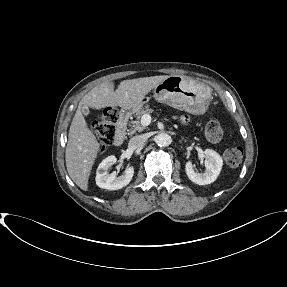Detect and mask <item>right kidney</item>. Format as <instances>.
I'll use <instances>...</instances> for the list:
<instances>
[{
	"label": "right kidney",
	"instance_id": "right-kidney-1",
	"mask_svg": "<svg viewBox=\"0 0 287 287\" xmlns=\"http://www.w3.org/2000/svg\"><path fill=\"white\" fill-rule=\"evenodd\" d=\"M117 161L114 155L105 158L96 171V184L107 190H118L127 186L134 175V168L131 166L125 170L123 175L116 177V172L109 174L108 169Z\"/></svg>",
	"mask_w": 287,
	"mask_h": 287
}]
</instances>
